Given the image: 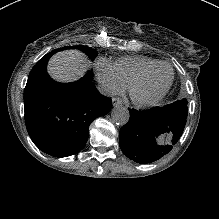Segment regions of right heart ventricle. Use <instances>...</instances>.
Segmentation results:
<instances>
[{"label":"right heart ventricle","instance_id":"e07e8e85","mask_svg":"<svg viewBox=\"0 0 219 219\" xmlns=\"http://www.w3.org/2000/svg\"><path fill=\"white\" fill-rule=\"evenodd\" d=\"M159 63L158 60L145 56H126L116 59L113 71L124 84L131 85L145 70Z\"/></svg>","mask_w":219,"mask_h":219}]
</instances>
